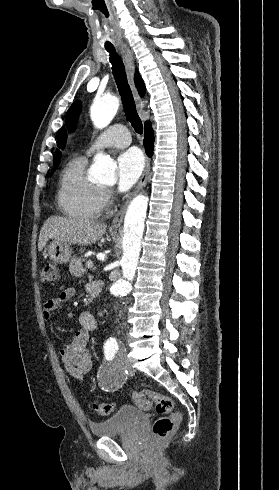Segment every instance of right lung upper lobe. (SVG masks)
<instances>
[{
  "label": "right lung upper lobe",
  "instance_id": "obj_1",
  "mask_svg": "<svg viewBox=\"0 0 279 490\" xmlns=\"http://www.w3.org/2000/svg\"><path fill=\"white\" fill-rule=\"evenodd\" d=\"M135 83H136V87H137L140 95H143L145 93L146 89H145L144 82L142 81V78L140 77V75L138 74L137 71L135 74ZM149 124H150L149 122H146L145 126H147ZM65 139H66V136H65L64 128H62L59 132L58 140H57V145L59 146V148H61V149L64 148L65 143H66ZM60 156H61V153H60V151L57 150L56 153L54 154V161H53L54 169H56L57 166L59 165Z\"/></svg>",
  "mask_w": 279,
  "mask_h": 490
}]
</instances>
